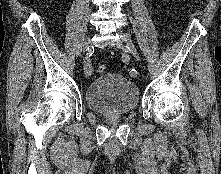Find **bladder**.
I'll return each mask as SVG.
<instances>
[{"instance_id": "1", "label": "bladder", "mask_w": 221, "mask_h": 174, "mask_svg": "<svg viewBox=\"0 0 221 174\" xmlns=\"http://www.w3.org/2000/svg\"><path fill=\"white\" fill-rule=\"evenodd\" d=\"M139 99L137 85L115 72L98 76L85 92L87 106L103 114L130 113L139 105Z\"/></svg>"}]
</instances>
